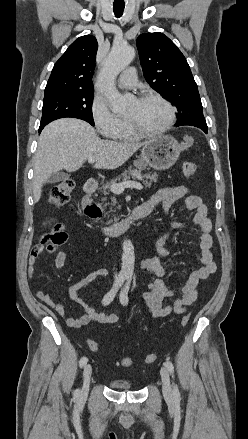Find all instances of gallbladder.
Instances as JSON below:
<instances>
[{"mask_svg":"<svg viewBox=\"0 0 248 439\" xmlns=\"http://www.w3.org/2000/svg\"><path fill=\"white\" fill-rule=\"evenodd\" d=\"M68 178H69V175L64 173V172H56V173L51 174L48 177L46 183H57V182L66 180Z\"/></svg>","mask_w":248,"mask_h":439,"instance_id":"obj_1","label":"gallbladder"}]
</instances>
